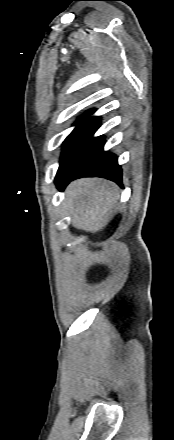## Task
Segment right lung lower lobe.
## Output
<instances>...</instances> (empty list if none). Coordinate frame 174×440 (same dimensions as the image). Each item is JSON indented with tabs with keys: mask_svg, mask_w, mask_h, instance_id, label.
Instances as JSON below:
<instances>
[{
	"mask_svg": "<svg viewBox=\"0 0 174 440\" xmlns=\"http://www.w3.org/2000/svg\"><path fill=\"white\" fill-rule=\"evenodd\" d=\"M99 126L100 120L96 121L95 131ZM104 143L103 135L90 138L80 162L69 175L56 182L57 188L62 190L74 179L94 176L112 180L122 187V170L117 157L103 151Z\"/></svg>",
	"mask_w": 174,
	"mask_h": 440,
	"instance_id": "obj_1",
	"label": "right lung lower lobe"
}]
</instances>
